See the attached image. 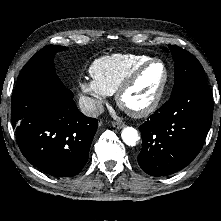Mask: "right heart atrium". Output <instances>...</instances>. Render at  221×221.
<instances>
[{"mask_svg": "<svg viewBox=\"0 0 221 221\" xmlns=\"http://www.w3.org/2000/svg\"><path fill=\"white\" fill-rule=\"evenodd\" d=\"M79 89L87 97L84 109L88 113H95L106 100L107 94L93 80H81Z\"/></svg>", "mask_w": 221, "mask_h": 221, "instance_id": "obj_1", "label": "right heart atrium"}]
</instances>
